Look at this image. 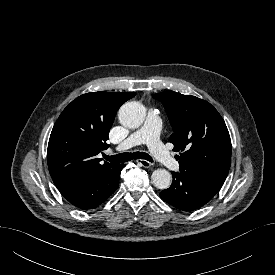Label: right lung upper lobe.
Returning a JSON list of instances; mask_svg holds the SVG:
<instances>
[{
	"label": "right lung upper lobe",
	"instance_id": "right-lung-upper-lobe-1",
	"mask_svg": "<svg viewBox=\"0 0 275 275\" xmlns=\"http://www.w3.org/2000/svg\"><path fill=\"white\" fill-rule=\"evenodd\" d=\"M134 92L86 93L73 100L57 119L48 143L47 162L58 189L82 183L114 165L96 157L109 145L108 133L120 106Z\"/></svg>",
	"mask_w": 275,
	"mask_h": 275
}]
</instances>
